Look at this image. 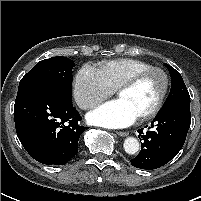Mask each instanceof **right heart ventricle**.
Masks as SVG:
<instances>
[{
  "label": "right heart ventricle",
  "mask_w": 201,
  "mask_h": 201,
  "mask_svg": "<svg viewBox=\"0 0 201 201\" xmlns=\"http://www.w3.org/2000/svg\"><path fill=\"white\" fill-rule=\"evenodd\" d=\"M149 67H152V65L141 60L120 58L101 63L98 70L106 84L112 90H116L131 75Z\"/></svg>",
  "instance_id": "e07e8e85"
}]
</instances>
